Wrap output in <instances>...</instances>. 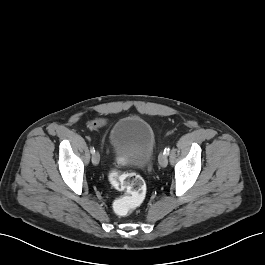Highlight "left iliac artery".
<instances>
[{
	"instance_id": "44dca946",
	"label": "left iliac artery",
	"mask_w": 265,
	"mask_h": 265,
	"mask_svg": "<svg viewBox=\"0 0 265 265\" xmlns=\"http://www.w3.org/2000/svg\"><path fill=\"white\" fill-rule=\"evenodd\" d=\"M169 153H170V148H169V147H166V148L164 149V154H165V155H169Z\"/></svg>"
}]
</instances>
